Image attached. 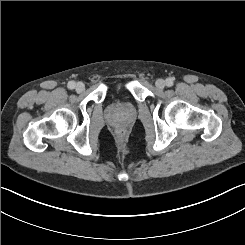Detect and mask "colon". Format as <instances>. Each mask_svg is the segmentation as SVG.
<instances>
[{
    "label": "colon",
    "instance_id": "obj_1",
    "mask_svg": "<svg viewBox=\"0 0 245 245\" xmlns=\"http://www.w3.org/2000/svg\"><path fill=\"white\" fill-rule=\"evenodd\" d=\"M118 135H119V137H123L124 133H123L122 131H120V132L118 133Z\"/></svg>",
    "mask_w": 245,
    "mask_h": 245
}]
</instances>
